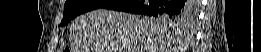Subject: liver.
Masks as SVG:
<instances>
[{"instance_id": "1", "label": "liver", "mask_w": 261, "mask_h": 52, "mask_svg": "<svg viewBox=\"0 0 261 52\" xmlns=\"http://www.w3.org/2000/svg\"><path fill=\"white\" fill-rule=\"evenodd\" d=\"M178 32L160 18L97 9L70 28L73 52H179Z\"/></svg>"}]
</instances>
